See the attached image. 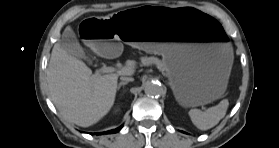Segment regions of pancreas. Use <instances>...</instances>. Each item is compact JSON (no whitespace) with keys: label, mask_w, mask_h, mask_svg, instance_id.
Returning a JSON list of instances; mask_svg holds the SVG:
<instances>
[{"label":"pancreas","mask_w":279,"mask_h":148,"mask_svg":"<svg viewBox=\"0 0 279 148\" xmlns=\"http://www.w3.org/2000/svg\"><path fill=\"white\" fill-rule=\"evenodd\" d=\"M143 65H152L155 64L157 68L166 74V65L164 61L159 60L157 57H143L141 59Z\"/></svg>","instance_id":"pancreas-1"}]
</instances>
